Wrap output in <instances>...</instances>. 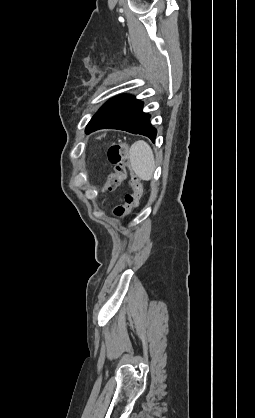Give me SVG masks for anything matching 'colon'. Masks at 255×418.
<instances>
[{
    "label": "colon",
    "mask_w": 255,
    "mask_h": 418,
    "mask_svg": "<svg viewBox=\"0 0 255 418\" xmlns=\"http://www.w3.org/2000/svg\"><path fill=\"white\" fill-rule=\"evenodd\" d=\"M128 147L125 144L112 145L108 150V159L114 167V172L110 175L105 183L104 189L112 190L117 187L129 175V168L127 162ZM130 184L133 189V194L125 198V204L119 206L115 210V214L121 216L139 205L143 193V186L140 179L134 175H130Z\"/></svg>",
    "instance_id": "colon-1"
}]
</instances>
